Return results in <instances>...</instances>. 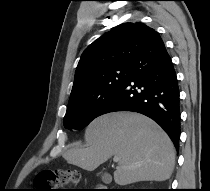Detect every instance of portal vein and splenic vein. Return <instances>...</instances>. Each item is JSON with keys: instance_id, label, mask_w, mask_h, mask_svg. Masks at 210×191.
<instances>
[{"instance_id": "1", "label": "portal vein and splenic vein", "mask_w": 210, "mask_h": 191, "mask_svg": "<svg viewBox=\"0 0 210 191\" xmlns=\"http://www.w3.org/2000/svg\"><path fill=\"white\" fill-rule=\"evenodd\" d=\"M113 160H114V162H118L119 157L118 156H114Z\"/></svg>"}]
</instances>
